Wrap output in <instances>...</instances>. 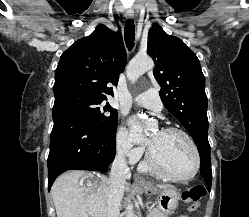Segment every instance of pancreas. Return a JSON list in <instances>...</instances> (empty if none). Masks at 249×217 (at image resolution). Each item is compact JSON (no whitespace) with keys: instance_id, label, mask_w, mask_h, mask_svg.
<instances>
[{"instance_id":"obj_1","label":"pancreas","mask_w":249,"mask_h":217,"mask_svg":"<svg viewBox=\"0 0 249 217\" xmlns=\"http://www.w3.org/2000/svg\"><path fill=\"white\" fill-rule=\"evenodd\" d=\"M147 217H167L164 215L160 210L158 209H153L151 212L148 214Z\"/></svg>"}]
</instances>
